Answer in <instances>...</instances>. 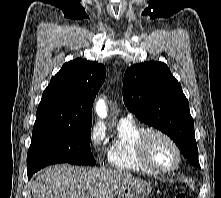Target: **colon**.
Segmentation results:
<instances>
[{
	"label": "colon",
	"mask_w": 221,
	"mask_h": 198,
	"mask_svg": "<svg viewBox=\"0 0 221 198\" xmlns=\"http://www.w3.org/2000/svg\"><path fill=\"white\" fill-rule=\"evenodd\" d=\"M175 198H186V196L183 193H178L176 194Z\"/></svg>",
	"instance_id": "obj_1"
}]
</instances>
